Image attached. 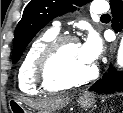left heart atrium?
<instances>
[{
	"mask_svg": "<svg viewBox=\"0 0 123 113\" xmlns=\"http://www.w3.org/2000/svg\"><path fill=\"white\" fill-rule=\"evenodd\" d=\"M80 49L85 60L93 64L102 52V42L98 35L92 32L80 45Z\"/></svg>",
	"mask_w": 123,
	"mask_h": 113,
	"instance_id": "obj_1",
	"label": "left heart atrium"
}]
</instances>
